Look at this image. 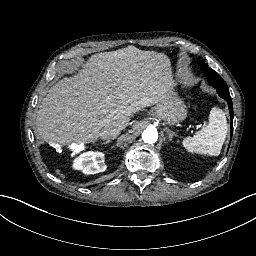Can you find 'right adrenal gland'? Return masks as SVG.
I'll list each match as a JSON object with an SVG mask.
<instances>
[{"instance_id":"right-adrenal-gland-1","label":"right adrenal gland","mask_w":256,"mask_h":256,"mask_svg":"<svg viewBox=\"0 0 256 256\" xmlns=\"http://www.w3.org/2000/svg\"><path fill=\"white\" fill-rule=\"evenodd\" d=\"M110 141H111V140L108 139V140H106V141H104V142H99V144L105 145V144H108Z\"/></svg>"}]
</instances>
